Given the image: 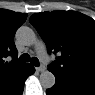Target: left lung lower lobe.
Returning <instances> with one entry per match:
<instances>
[{
  "mask_svg": "<svg viewBox=\"0 0 95 95\" xmlns=\"http://www.w3.org/2000/svg\"><path fill=\"white\" fill-rule=\"evenodd\" d=\"M55 85L47 95H95V82L71 76H55Z\"/></svg>",
  "mask_w": 95,
  "mask_h": 95,
  "instance_id": "1",
  "label": "left lung lower lobe"
}]
</instances>
